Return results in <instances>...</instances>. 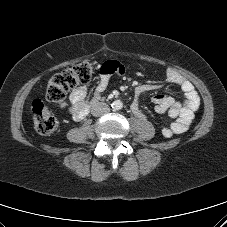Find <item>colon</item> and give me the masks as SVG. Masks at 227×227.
Returning a JSON list of instances; mask_svg holds the SVG:
<instances>
[{
    "label": "colon",
    "instance_id": "colon-1",
    "mask_svg": "<svg viewBox=\"0 0 227 227\" xmlns=\"http://www.w3.org/2000/svg\"><path fill=\"white\" fill-rule=\"evenodd\" d=\"M95 70L92 61H83L53 75L47 84L46 99L58 106L66 104V94L81 84L90 82ZM32 119L36 131L42 135L55 132L59 126L52 110L41 99L32 102Z\"/></svg>",
    "mask_w": 227,
    "mask_h": 227
}]
</instances>
